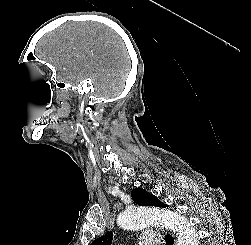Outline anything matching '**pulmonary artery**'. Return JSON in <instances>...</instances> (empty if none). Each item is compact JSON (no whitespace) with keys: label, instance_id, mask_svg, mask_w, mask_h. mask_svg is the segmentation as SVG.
Listing matches in <instances>:
<instances>
[{"label":"pulmonary artery","instance_id":"1","mask_svg":"<svg viewBox=\"0 0 251 245\" xmlns=\"http://www.w3.org/2000/svg\"><path fill=\"white\" fill-rule=\"evenodd\" d=\"M140 242L143 245H159L161 239L156 233H144L140 237Z\"/></svg>","mask_w":251,"mask_h":245}]
</instances>
